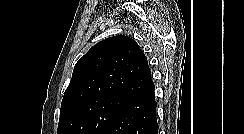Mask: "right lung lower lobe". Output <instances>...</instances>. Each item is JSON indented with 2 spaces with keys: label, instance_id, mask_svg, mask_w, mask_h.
Here are the masks:
<instances>
[{
  "label": "right lung lower lobe",
  "instance_id": "obj_1",
  "mask_svg": "<svg viewBox=\"0 0 244 134\" xmlns=\"http://www.w3.org/2000/svg\"><path fill=\"white\" fill-rule=\"evenodd\" d=\"M156 106L154 89L135 97L101 134H158Z\"/></svg>",
  "mask_w": 244,
  "mask_h": 134
}]
</instances>
